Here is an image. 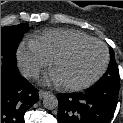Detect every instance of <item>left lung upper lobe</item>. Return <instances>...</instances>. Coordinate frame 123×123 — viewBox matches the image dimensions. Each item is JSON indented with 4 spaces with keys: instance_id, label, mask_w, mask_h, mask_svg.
Returning a JSON list of instances; mask_svg holds the SVG:
<instances>
[{
    "instance_id": "5c2ea615",
    "label": "left lung upper lobe",
    "mask_w": 123,
    "mask_h": 123,
    "mask_svg": "<svg viewBox=\"0 0 123 123\" xmlns=\"http://www.w3.org/2000/svg\"><path fill=\"white\" fill-rule=\"evenodd\" d=\"M96 84L119 86V70L116 65L114 51L112 48H110V63L108 69Z\"/></svg>"
}]
</instances>
